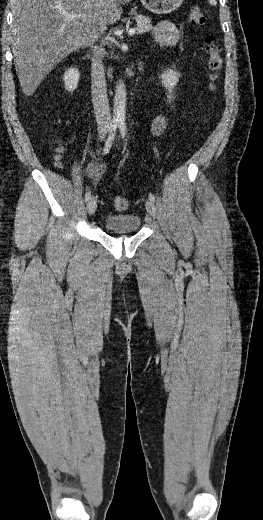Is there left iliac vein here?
Listing matches in <instances>:
<instances>
[{
    "instance_id": "obj_1",
    "label": "left iliac vein",
    "mask_w": 263,
    "mask_h": 520,
    "mask_svg": "<svg viewBox=\"0 0 263 520\" xmlns=\"http://www.w3.org/2000/svg\"><path fill=\"white\" fill-rule=\"evenodd\" d=\"M145 206H146V210H147V212H148L152 217H155V216H156V208H155L154 203H153L151 200H147Z\"/></svg>"
}]
</instances>
